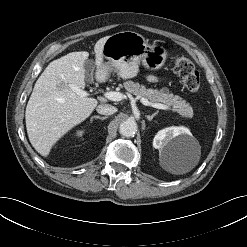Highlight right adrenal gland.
<instances>
[{"label":"right adrenal gland","instance_id":"2a0ac1e0","mask_svg":"<svg viewBox=\"0 0 247 247\" xmlns=\"http://www.w3.org/2000/svg\"><path fill=\"white\" fill-rule=\"evenodd\" d=\"M107 117H101V116H93L91 117V122L93 121V119H100V120H105Z\"/></svg>","mask_w":247,"mask_h":247}]
</instances>
